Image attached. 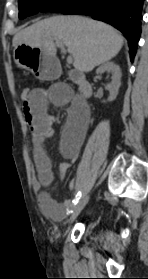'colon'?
<instances>
[{"mask_svg":"<svg viewBox=\"0 0 148 279\" xmlns=\"http://www.w3.org/2000/svg\"><path fill=\"white\" fill-rule=\"evenodd\" d=\"M32 97V91L29 88H23L21 91V98L23 102H28Z\"/></svg>","mask_w":148,"mask_h":279,"instance_id":"5ec220e1","label":"colon"}]
</instances>
